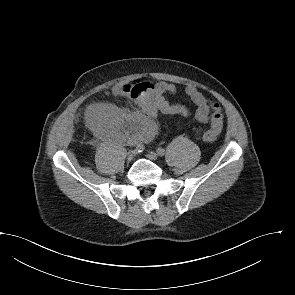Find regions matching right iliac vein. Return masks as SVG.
Returning <instances> with one entry per match:
<instances>
[{"label":"right iliac vein","mask_w":295,"mask_h":295,"mask_svg":"<svg viewBox=\"0 0 295 295\" xmlns=\"http://www.w3.org/2000/svg\"><path fill=\"white\" fill-rule=\"evenodd\" d=\"M135 155H136V152H135L134 150H131V151H129V152L127 153V159H128L129 161H131V160H133V158L135 157Z\"/></svg>","instance_id":"obj_1"}]
</instances>
